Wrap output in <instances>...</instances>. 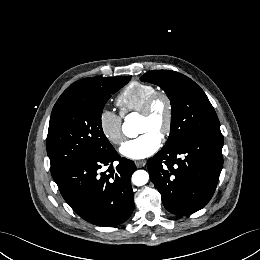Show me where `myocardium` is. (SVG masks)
Segmentation results:
<instances>
[{"instance_id":"myocardium-1","label":"myocardium","mask_w":260,"mask_h":260,"mask_svg":"<svg viewBox=\"0 0 260 260\" xmlns=\"http://www.w3.org/2000/svg\"><path fill=\"white\" fill-rule=\"evenodd\" d=\"M158 99L164 100L166 104V118H165V123L162 127V130L160 132V136L165 139L167 138L173 128V121H174V105L173 101L170 97V95L163 91V90H156L153 93H151L143 102L139 113L140 115L147 117L151 114L153 105Z\"/></svg>"}]
</instances>
